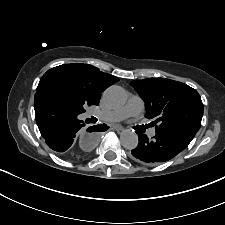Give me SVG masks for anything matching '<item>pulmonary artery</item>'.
<instances>
[{"instance_id":"obj_1","label":"pulmonary artery","mask_w":225,"mask_h":225,"mask_svg":"<svg viewBox=\"0 0 225 225\" xmlns=\"http://www.w3.org/2000/svg\"><path fill=\"white\" fill-rule=\"evenodd\" d=\"M144 110L143 100L136 95L129 98L128 102L121 108L106 111V112H95L92 115L104 122H116L123 120L130 116H137ZM150 136L155 135V130L149 132Z\"/></svg>"}]
</instances>
